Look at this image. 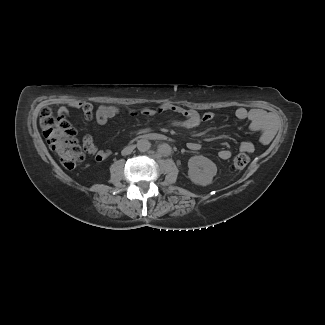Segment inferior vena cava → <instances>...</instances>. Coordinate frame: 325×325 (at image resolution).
Listing matches in <instances>:
<instances>
[{"label":"inferior vena cava","mask_w":325,"mask_h":325,"mask_svg":"<svg viewBox=\"0 0 325 325\" xmlns=\"http://www.w3.org/2000/svg\"><path fill=\"white\" fill-rule=\"evenodd\" d=\"M133 149H134L133 146H127V147H125V148L121 151V154H122L123 156H125V155H129V154L132 153Z\"/></svg>","instance_id":"obj_1"}]
</instances>
